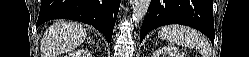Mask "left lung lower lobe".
Returning <instances> with one entry per match:
<instances>
[{"instance_id": "0a47b994", "label": "left lung lower lobe", "mask_w": 249, "mask_h": 57, "mask_svg": "<svg viewBox=\"0 0 249 57\" xmlns=\"http://www.w3.org/2000/svg\"><path fill=\"white\" fill-rule=\"evenodd\" d=\"M183 24L204 33L214 43L212 0H151L144 18L140 40L162 25Z\"/></svg>"}]
</instances>
